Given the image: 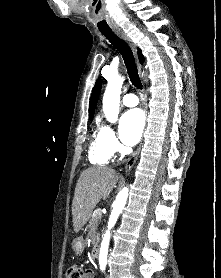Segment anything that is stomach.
Instances as JSON below:
<instances>
[{
	"label": "stomach",
	"instance_id": "0dacf381",
	"mask_svg": "<svg viewBox=\"0 0 221 278\" xmlns=\"http://www.w3.org/2000/svg\"><path fill=\"white\" fill-rule=\"evenodd\" d=\"M84 248L85 243L81 237L74 239L72 242V249L76 254H81L84 251Z\"/></svg>",
	"mask_w": 221,
	"mask_h": 278
}]
</instances>
